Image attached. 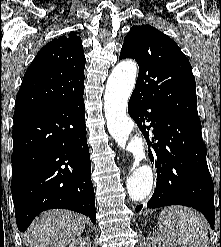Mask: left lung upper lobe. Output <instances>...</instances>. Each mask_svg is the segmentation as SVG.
I'll list each match as a JSON object with an SVG mask.
<instances>
[{"instance_id": "5c2ea615", "label": "left lung upper lobe", "mask_w": 221, "mask_h": 247, "mask_svg": "<svg viewBox=\"0 0 221 247\" xmlns=\"http://www.w3.org/2000/svg\"><path fill=\"white\" fill-rule=\"evenodd\" d=\"M125 58L139 65L133 94L169 113L199 120L191 64L171 38L150 25H134L119 60Z\"/></svg>"}]
</instances>
